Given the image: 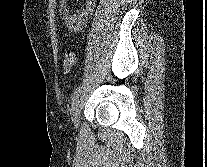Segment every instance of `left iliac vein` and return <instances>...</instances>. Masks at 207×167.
Wrapping results in <instances>:
<instances>
[{
    "label": "left iliac vein",
    "instance_id": "obj_1",
    "mask_svg": "<svg viewBox=\"0 0 207 167\" xmlns=\"http://www.w3.org/2000/svg\"><path fill=\"white\" fill-rule=\"evenodd\" d=\"M79 115H80V102L79 100H77L71 110V120L75 129H77L79 126Z\"/></svg>",
    "mask_w": 207,
    "mask_h": 167
}]
</instances>
